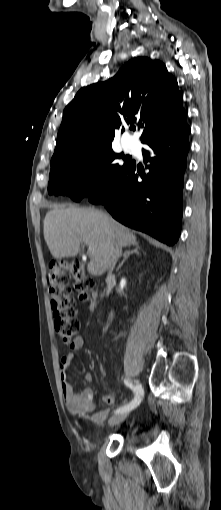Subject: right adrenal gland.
Masks as SVG:
<instances>
[{
    "instance_id": "2a0ac1e0",
    "label": "right adrenal gland",
    "mask_w": 221,
    "mask_h": 510,
    "mask_svg": "<svg viewBox=\"0 0 221 510\" xmlns=\"http://www.w3.org/2000/svg\"><path fill=\"white\" fill-rule=\"evenodd\" d=\"M139 250H140V247L138 246V244H137V243L134 245V248H133V249H128V250H126V251L124 252V255H123V260H122V262L119 264L118 268H120V267L124 264V262L128 259V257H129L130 255H132V254H134V253H135V254H137V255H139V254H140Z\"/></svg>"
}]
</instances>
